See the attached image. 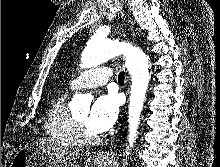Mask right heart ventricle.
Returning <instances> with one entry per match:
<instances>
[{"label":"right heart ventricle","mask_w":220,"mask_h":167,"mask_svg":"<svg viewBox=\"0 0 220 167\" xmlns=\"http://www.w3.org/2000/svg\"><path fill=\"white\" fill-rule=\"evenodd\" d=\"M67 95L60 93L52 98L44 121L46 136L61 146L77 144L74 120L66 104Z\"/></svg>","instance_id":"right-heart-ventricle-1"}]
</instances>
